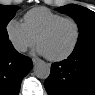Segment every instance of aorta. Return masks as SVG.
<instances>
[{
    "label": "aorta",
    "mask_w": 95,
    "mask_h": 95,
    "mask_svg": "<svg viewBox=\"0 0 95 95\" xmlns=\"http://www.w3.org/2000/svg\"><path fill=\"white\" fill-rule=\"evenodd\" d=\"M34 75L39 79H47L50 75V65L44 61L38 62L33 68Z\"/></svg>",
    "instance_id": "obj_1"
}]
</instances>
